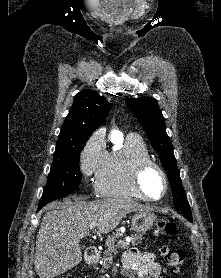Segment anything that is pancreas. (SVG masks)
I'll use <instances>...</instances> for the list:
<instances>
[{
	"mask_svg": "<svg viewBox=\"0 0 221 278\" xmlns=\"http://www.w3.org/2000/svg\"><path fill=\"white\" fill-rule=\"evenodd\" d=\"M120 236V233L117 232L116 234H114L113 236H109L106 242L107 245V251L104 252V256H103V262L102 265L104 268H108L110 266V264L112 263V258L113 255H115L117 253V248L119 249H125L128 248L129 244L125 243V244H121L120 241L117 240V238ZM142 240V235H131V243L132 244H137V243H141Z\"/></svg>",
	"mask_w": 221,
	"mask_h": 278,
	"instance_id": "pancreas-1",
	"label": "pancreas"
}]
</instances>
